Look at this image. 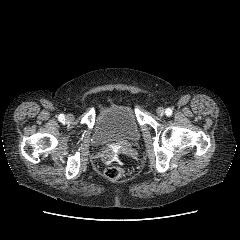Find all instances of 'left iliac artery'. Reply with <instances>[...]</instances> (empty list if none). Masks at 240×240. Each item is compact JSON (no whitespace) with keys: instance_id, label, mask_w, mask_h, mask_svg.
Wrapping results in <instances>:
<instances>
[{"instance_id":"left-iliac-artery-1","label":"left iliac artery","mask_w":240,"mask_h":240,"mask_svg":"<svg viewBox=\"0 0 240 240\" xmlns=\"http://www.w3.org/2000/svg\"><path fill=\"white\" fill-rule=\"evenodd\" d=\"M167 116H171L172 115V110L170 108H167L165 111Z\"/></svg>"}]
</instances>
